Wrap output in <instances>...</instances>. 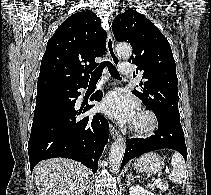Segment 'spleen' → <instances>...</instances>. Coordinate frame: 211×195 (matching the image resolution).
<instances>
[{
    "instance_id": "obj_1",
    "label": "spleen",
    "mask_w": 211,
    "mask_h": 195,
    "mask_svg": "<svg viewBox=\"0 0 211 195\" xmlns=\"http://www.w3.org/2000/svg\"><path fill=\"white\" fill-rule=\"evenodd\" d=\"M171 165L173 166V171L170 173L169 179L176 184H181L185 172V161L181 154L177 152L173 154Z\"/></svg>"
}]
</instances>
